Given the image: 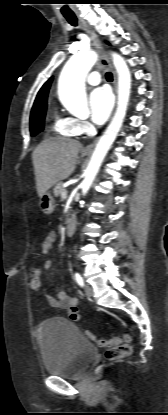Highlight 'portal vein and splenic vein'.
<instances>
[{
    "instance_id": "18ae733b",
    "label": "portal vein and splenic vein",
    "mask_w": 168,
    "mask_h": 415,
    "mask_svg": "<svg viewBox=\"0 0 168 415\" xmlns=\"http://www.w3.org/2000/svg\"><path fill=\"white\" fill-rule=\"evenodd\" d=\"M61 198L62 199H66L67 198V191L66 190L61 193Z\"/></svg>"
}]
</instances>
